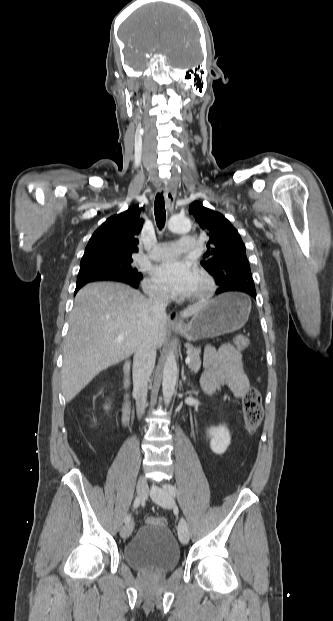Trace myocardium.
Returning a JSON list of instances; mask_svg holds the SVG:
<instances>
[{"mask_svg":"<svg viewBox=\"0 0 333 621\" xmlns=\"http://www.w3.org/2000/svg\"><path fill=\"white\" fill-rule=\"evenodd\" d=\"M197 274L204 282V288L193 295H188L184 297L185 300L188 301H204L213 296L216 291V284L213 277L204 269H198Z\"/></svg>","mask_w":333,"mask_h":621,"instance_id":"f54148a6","label":"myocardium"}]
</instances>
